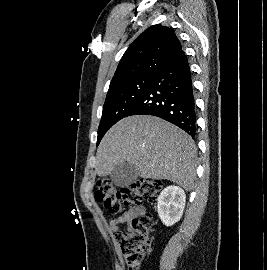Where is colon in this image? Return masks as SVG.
Here are the masks:
<instances>
[{"mask_svg":"<svg viewBox=\"0 0 267 270\" xmlns=\"http://www.w3.org/2000/svg\"><path fill=\"white\" fill-rule=\"evenodd\" d=\"M161 182L141 179L126 187H116L109 179L96 183L95 199L113 215L125 207H139L143 202L154 203L161 190ZM153 217L145 213L135 218L127 229L116 234V240L127 270H138L152 244Z\"/></svg>","mask_w":267,"mask_h":270,"instance_id":"5ec220e1","label":"colon"}]
</instances>
